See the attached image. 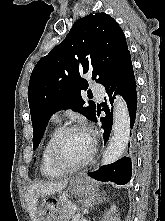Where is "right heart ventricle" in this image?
<instances>
[{
  "mask_svg": "<svg viewBox=\"0 0 165 221\" xmlns=\"http://www.w3.org/2000/svg\"><path fill=\"white\" fill-rule=\"evenodd\" d=\"M58 130L59 129L56 125L55 128L51 131V133L47 137L43 145L41 156H40V165H39L40 172L43 176L49 177V178L59 177L63 174L62 172H59L56 169H54L49 160V146H50L53 136Z\"/></svg>",
  "mask_w": 165,
  "mask_h": 221,
  "instance_id": "e07e8e85",
  "label": "right heart ventricle"
}]
</instances>
